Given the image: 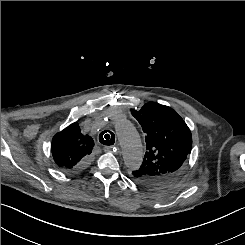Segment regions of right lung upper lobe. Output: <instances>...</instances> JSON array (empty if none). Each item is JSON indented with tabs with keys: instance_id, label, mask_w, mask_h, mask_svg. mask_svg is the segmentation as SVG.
I'll list each match as a JSON object with an SVG mask.
<instances>
[{
	"instance_id": "obj_1",
	"label": "right lung upper lobe",
	"mask_w": 245,
	"mask_h": 245,
	"mask_svg": "<svg viewBox=\"0 0 245 245\" xmlns=\"http://www.w3.org/2000/svg\"><path fill=\"white\" fill-rule=\"evenodd\" d=\"M93 147V139L83 135L78 123H73L53 137L51 151L55 163L71 171L89 157Z\"/></svg>"
}]
</instances>
